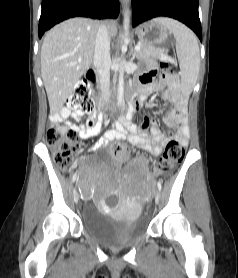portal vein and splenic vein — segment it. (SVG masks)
Wrapping results in <instances>:
<instances>
[{"mask_svg":"<svg viewBox=\"0 0 238 278\" xmlns=\"http://www.w3.org/2000/svg\"><path fill=\"white\" fill-rule=\"evenodd\" d=\"M140 49H141V45H140V44H137V45L135 46V50H136V51H139ZM163 59L171 60L170 57H165V58H163Z\"/></svg>","mask_w":238,"mask_h":278,"instance_id":"1","label":"portal vein and splenic vein"}]
</instances>
